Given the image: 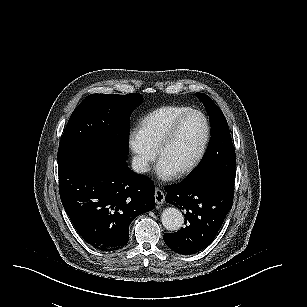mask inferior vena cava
<instances>
[{
	"mask_svg": "<svg viewBox=\"0 0 307 307\" xmlns=\"http://www.w3.org/2000/svg\"><path fill=\"white\" fill-rule=\"evenodd\" d=\"M131 167L132 170L138 174H142L150 170L148 162L142 156L138 155L132 158Z\"/></svg>",
	"mask_w": 307,
	"mask_h": 307,
	"instance_id": "inferior-vena-cava-1",
	"label": "inferior vena cava"
}]
</instances>
